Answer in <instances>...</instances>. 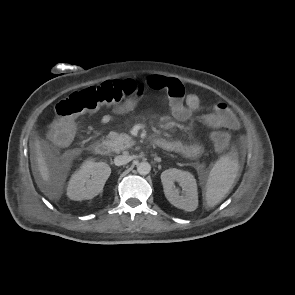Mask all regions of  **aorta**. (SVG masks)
<instances>
[{"label":"aorta","mask_w":295,"mask_h":295,"mask_svg":"<svg viewBox=\"0 0 295 295\" xmlns=\"http://www.w3.org/2000/svg\"><path fill=\"white\" fill-rule=\"evenodd\" d=\"M151 170V165L148 162H141L137 165V172L140 175H147Z\"/></svg>","instance_id":"762f6f07"}]
</instances>
